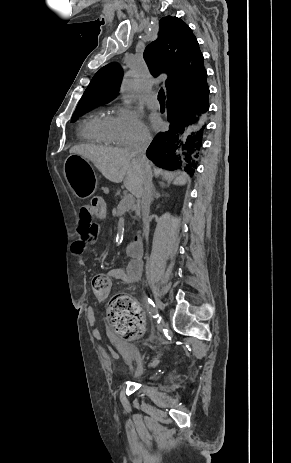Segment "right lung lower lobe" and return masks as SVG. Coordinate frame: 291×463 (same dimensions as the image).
<instances>
[{"mask_svg": "<svg viewBox=\"0 0 291 463\" xmlns=\"http://www.w3.org/2000/svg\"><path fill=\"white\" fill-rule=\"evenodd\" d=\"M207 73L199 87L189 93L168 96V131L158 134L147 149V157L158 167L184 169L193 175L202 147L206 117L209 110Z\"/></svg>", "mask_w": 291, "mask_h": 463, "instance_id": "1", "label": "right lung lower lobe"}]
</instances>
